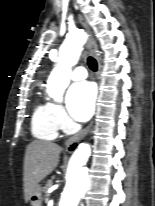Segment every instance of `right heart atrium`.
Instances as JSON below:
<instances>
[{
    "instance_id": "1",
    "label": "right heart atrium",
    "mask_w": 155,
    "mask_h": 206,
    "mask_svg": "<svg viewBox=\"0 0 155 206\" xmlns=\"http://www.w3.org/2000/svg\"><path fill=\"white\" fill-rule=\"evenodd\" d=\"M51 117L59 130L66 131L69 128L70 121L64 108L57 103H49Z\"/></svg>"
}]
</instances>
